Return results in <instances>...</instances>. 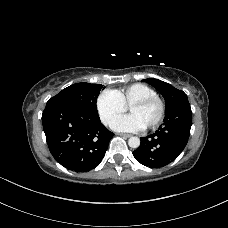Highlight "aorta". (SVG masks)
Returning a JSON list of instances; mask_svg holds the SVG:
<instances>
[{"label":"aorta","mask_w":228,"mask_h":228,"mask_svg":"<svg viewBox=\"0 0 228 228\" xmlns=\"http://www.w3.org/2000/svg\"><path fill=\"white\" fill-rule=\"evenodd\" d=\"M128 145L131 148H138L140 146V139L136 136L130 137L128 140Z\"/></svg>","instance_id":"obj_1"}]
</instances>
